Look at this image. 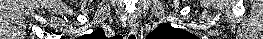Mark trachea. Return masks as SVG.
<instances>
[{
  "instance_id": "trachea-1",
  "label": "trachea",
  "mask_w": 263,
  "mask_h": 39,
  "mask_svg": "<svg viewBox=\"0 0 263 39\" xmlns=\"http://www.w3.org/2000/svg\"><path fill=\"white\" fill-rule=\"evenodd\" d=\"M128 39H136V36L134 34H131Z\"/></svg>"
}]
</instances>
